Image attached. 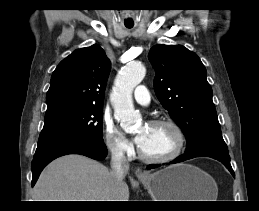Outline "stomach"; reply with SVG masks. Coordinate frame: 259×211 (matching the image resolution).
<instances>
[{"mask_svg": "<svg viewBox=\"0 0 259 211\" xmlns=\"http://www.w3.org/2000/svg\"><path fill=\"white\" fill-rule=\"evenodd\" d=\"M154 201H215L218 188L201 169L177 164L141 179Z\"/></svg>", "mask_w": 259, "mask_h": 211, "instance_id": "1", "label": "stomach"}]
</instances>
